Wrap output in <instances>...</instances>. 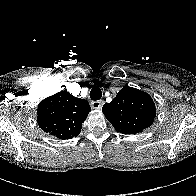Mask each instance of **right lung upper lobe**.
<instances>
[{"instance_id": "obj_1", "label": "right lung upper lobe", "mask_w": 196, "mask_h": 196, "mask_svg": "<svg viewBox=\"0 0 196 196\" xmlns=\"http://www.w3.org/2000/svg\"><path fill=\"white\" fill-rule=\"evenodd\" d=\"M90 111L86 100L61 91L39 104L37 122L46 133L59 139H71L81 132L82 123Z\"/></svg>"}]
</instances>
